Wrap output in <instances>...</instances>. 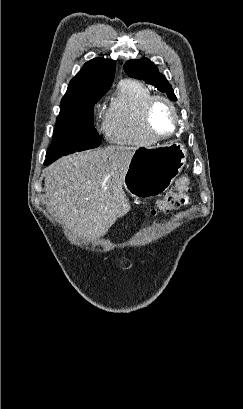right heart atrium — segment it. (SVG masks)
<instances>
[{"instance_id":"right-heart-atrium-1","label":"right heart atrium","mask_w":243,"mask_h":409,"mask_svg":"<svg viewBox=\"0 0 243 409\" xmlns=\"http://www.w3.org/2000/svg\"><path fill=\"white\" fill-rule=\"evenodd\" d=\"M105 115H106V112H104L103 109H100V117H103L105 119Z\"/></svg>"}]
</instances>
